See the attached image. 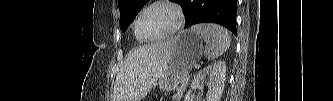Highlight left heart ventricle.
<instances>
[{"label": "left heart ventricle", "instance_id": "1", "mask_svg": "<svg viewBox=\"0 0 333 101\" xmlns=\"http://www.w3.org/2000/svg\"><path fill=\"white\" fill-rule=\"evenodd\" d=\"M177 22L175 12L166 6H156L140 18L139 28L143 36L153 38L169 32Z\"/></svg>", "mask_w": 333, "mask_h": 101}]
</instances>
